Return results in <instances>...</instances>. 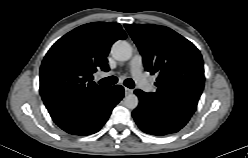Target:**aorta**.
Here are the masks:
<instances>
[{
	"label": "aorta",
	"instance_id": "aorta-1",
	"mask_svg": "<svg viewBox=\"0 0 248 158\" xmlns=\"http://www.w3.org/2000/svg\"><path fill=\"white\" fill-rule=\"evenodd\" d=\"M111 54L114 59L118 61H127L132 56V47L131 45L124 41L118 40L116 41L112 48ZM139 104V99L135 94H129L124 98V105L129 109H135Z\"/></svg>",
	"mask_w": 248,
	"mask_h": 158
}]
</instances>
